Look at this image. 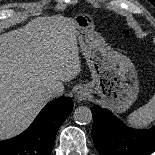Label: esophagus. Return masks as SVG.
<instances>
[{"instance_id": "34e87169", "label": "esophagus", "mask_w": 155, "mask_h": 155, "mask_svg": "<svg viewBox=\"0 0 155 155\" xmlns=\"http://www.w3.org/2000/svg\"><path fill=\"white\" fill-rule=\"evenodd\" d=\"M86 95H87L86 92H83L82 90H80L76 95V99L78 101H82L86 97Z\"/></svg>"}]
</instances>
